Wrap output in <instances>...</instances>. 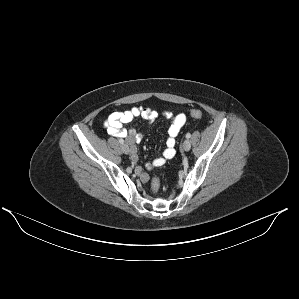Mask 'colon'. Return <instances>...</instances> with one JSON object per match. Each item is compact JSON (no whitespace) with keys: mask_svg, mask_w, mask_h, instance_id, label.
<instances>
[{"mask_svg":"<svg viewBox=\"0 0 299 299\" xmlns=\"http://www.w3.org/2000/svg\"><path fill=\"white\" fill-rule=\"evenodd\" d=\"M203 115L201 110L195 109L190 112V116L195 119L201 118ZM160 182L157 178L153 179V189L157 191L159 189Z\"/></svg>","mask_w":299,"mask_h":299,"instance_id":"1","label":"colon"}]
</instances>
